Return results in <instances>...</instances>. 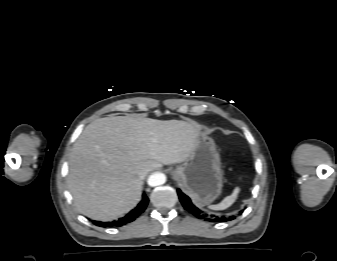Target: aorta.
Here are the masks:
<instances>
[{"label":"aorta","mask_w":337,"mask_h":261,"mask_svg":"<svg viewBox=\"0 0 337 261\" xmlns=\"http://www.w3.org/2000/svg\"><path fill=\"white\" fill-rule=\"evenodd\" d=\"M147 182L149 186L156 187L166 182V176L164 173L155 172L149 176Z\"/></svg>","instance_id":"1"}]
</instances>
